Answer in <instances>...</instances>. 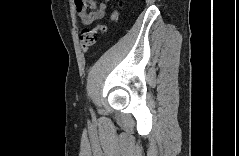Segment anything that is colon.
<instances>
[{
    "label": "colon",
    "mask_w": 239,
    "mask_h": 156,
    "mask_svg": "<svg viewBox=\"0 0 239 156\" xmlns=\"http://www.w3.org/2000/svg\"><path fill=\"white\" fill-rule=\"evenodd\" d=\"M118 16L117 10H115L111 16V20H116ZM105 26H98L92 29H83L80 36V46L83 52H87L91 46L96 42L97 36L105 31Z\"/></svg>",
    "instance_id": "obj_1"
}]
</instances>
